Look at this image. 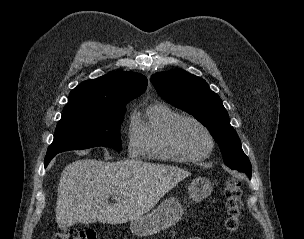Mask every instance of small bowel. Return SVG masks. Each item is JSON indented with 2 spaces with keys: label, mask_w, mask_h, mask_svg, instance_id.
Masks as SVG:
<instances>
[{
  "label": "small bowel",
  "mask_w": 304,
  "mask_h": 239,
  "mask_svg": "<svg viewBox=\"0 0 304 239\" xmlns=\"http://www.w3.org/2000/svg\"><path fill=\"white\" fill-rule=\"evenodd\" d=\"M188 239H203V238L200 237V236H192V237H190V238H188Z\"/></svg>",
  "instance_id": "small-bowel-1"
}]
</instances>
